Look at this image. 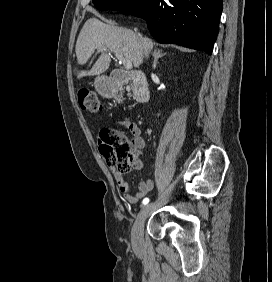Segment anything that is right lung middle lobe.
Instances as JSON below:
<instances>
[{"label": "right lung middle lobe", "mask_w": 272, "mask_h": 282, "mask_svg": "<svg viewBox=\"0 0 272 282\" xmlns=\"http://www.w3.org/2000/svg\"><path fill=\"white\" fill-rule=\"evenodd\" d=\"M141 0H93L94 5L100 10H119L130 8Z\"/></svg>", "instance_id": "right-lung-middle-lobe-1"}]
</instances>
